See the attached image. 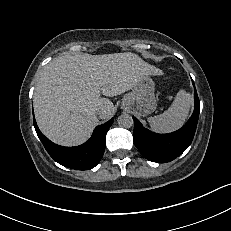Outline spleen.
<instances>
[{
  "label": "spleen",
  "mask_w": 231,
  "mask_h": 231,
  "mask_svg": "<svg viewBox=\"0 0 231 231\" xmlns=\"http://www.w3.org/2000/svg\"><path fill=\"white\" fill-rule=\"evenodd\" d=\"M191 103V95L180 90L166 111L148 118L151 129L157 133H170L179 129L188 117Z\"/></svg>",
  "instance_id": "obj_1"
}]
</instances>
